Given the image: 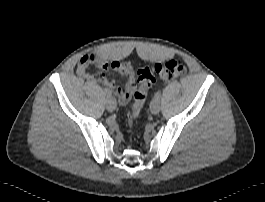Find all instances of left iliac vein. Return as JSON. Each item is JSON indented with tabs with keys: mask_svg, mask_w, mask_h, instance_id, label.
<instances>
[{
	"mask_svg": "<svg viewBox=\"0 0 265 202\" xmlns=\"http://www.w3.org/2000/svg\"><path fill=\"white\" fill-rule=\"evenodd\" d=\"M151 113L157 115L160 112V102L157 99L152 100L150 103Z\"/></svg>",
	"mask_w": 265,
	"mask_h": 202,
	"instance_id": "left-iliac-vein-1",
	"label": "left iliac vein"
}]
</instances>
